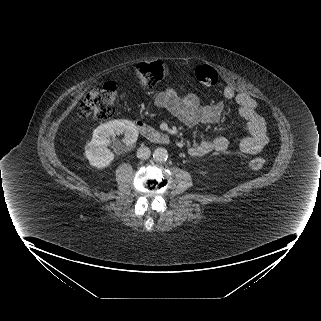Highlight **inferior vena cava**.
Returning a JSON list of instances; mask_svg holds the SVG:
<instances>
[{
  "label": "inferior vena cava",
  "instance_id": "602c4592",
  "mask_svg": "<svg viewBox=\"0 0 321 321\" xmlns=\"http://www.w3.org/2000/svg\"><path fill=\"white\" fill-rule=\"evenodd\" d=\"M151 155V151L148 147L146 146H141L138 150H137V157L139 159L142 160H146L150 157Z\"/></svg>",
  "mask_w": 321,
  "mask_h": 321
}]
</instances>
